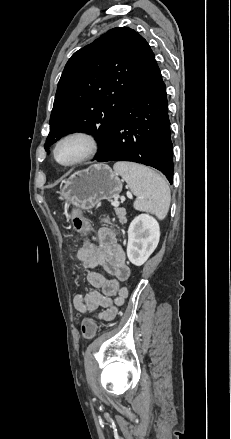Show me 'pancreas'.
<instances>
[{
    "mask_svg": "<svg viewBox=\"0 0 231 439\" xmlns=\"http://www.w3.org/2000/svg\"><path fill=\"white\" fill-rule=\"evenodd\" d=\"M115 212H116V214H117V216L119 218V222L122 223V224H125L127 222L125 210L117 208L115 210Z\"/></svg>",
    "mask_w": 231,
    "mask_h": 439,
    "instance_id": "pancreas-1",
    "label": "pancreas"
}]
</instances>
